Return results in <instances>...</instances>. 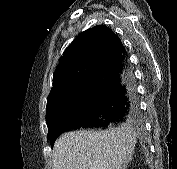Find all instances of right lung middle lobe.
<instances>
[{
  "mask_svg": "<svg viewBox=\"0 0 177 169\" xmlns=\"http://www.w3.org/2000/svg\"><path fill=\"white\" fill-rule=\"evenodd\" d=\"M92 82H86L75 89L65 99L47 106L46 124L48 127L47 140H50L57 127L66 119L82 111L89 103L93 93ZM52 146V145H51ZM53 147V146H52Z\"/></svg>",
  "mask_w": 177,
  "mask_h": 169,
  "instance_id": "obj_1",
  "label": "right lung middle lobe"
}]
</instances>
